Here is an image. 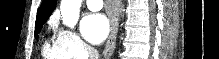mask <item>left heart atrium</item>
<instances>
[{
    "instance_id": "39dd6f15",
    "label": "left heart atrium",
    "mask_w": 219,
    "mask_h": 59,
    "mask_svg": "<svg viewBox=\"0 0 219 59\" xmlns=\"http://www.w3.org/2000/svg\"><path fill=\"white\" fill-rule=\"evenodd\" d=\"M83 37L91 44L102 43L108 35L109 23L105 15L100 13L86 14L81 21Z\"/></svg>"
}]
</instances>
